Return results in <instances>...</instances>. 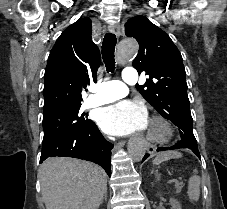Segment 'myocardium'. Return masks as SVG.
Listing matches in <instances>:
<instances>
[{
	"label": "myocardium",
	"instance_id": "f54148a6",
	"mask_svg": "<svg viewBox=\"0 0 227 209\" xmlns=\"http://www.w3.org/2000/svg\"><path fill=\"white\" fill-rule=\"evenodd\" d=\"M148 126H160L163 129V133L161 135L146 133L145 139L150 143H170L175 138V129L173 128L172 124L163 116H153Z\"/></svg>",
	"mask_w": 227,
	"mask_h": 209
}]
</instances>
